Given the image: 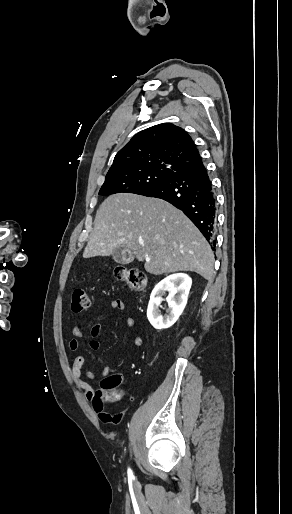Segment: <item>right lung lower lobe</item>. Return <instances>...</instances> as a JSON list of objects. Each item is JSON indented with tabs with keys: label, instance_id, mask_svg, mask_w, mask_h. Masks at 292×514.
Masks as SVG:
<instances>
[{
	"label": "right lung lower lobe",
	"instance_id": "obj_1",
	"mask_svg": "<svg viewBox=\"0 0 292 514\" xmlns=\"http://www.w3.org/2000/svg\"><path fill=\"white\" fill-rule=\"evenodd\" d=\"M143 195L161 198L182 210L215 250L216 198L203 162L172 174Z\"/></svg>",
	"mask_w": 292,
	"mask_h": 514
}]
</instances>
